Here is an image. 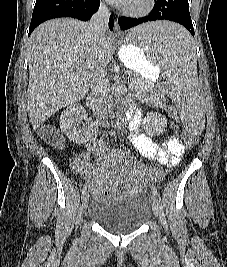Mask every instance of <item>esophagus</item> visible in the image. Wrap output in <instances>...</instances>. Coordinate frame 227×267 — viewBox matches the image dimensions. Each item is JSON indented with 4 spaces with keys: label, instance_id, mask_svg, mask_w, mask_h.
<instances>
[{
    "label": "esophagus",
    "instance_id": "esophagus-1",
    "mask_svg": "<svg viewBox=\"0 0 227 267\" xmlns=\"http://www.w3.org/2000/svg\"><path fill=\"white\" fill-rule=\"evenodd\" d=\"M114 32H115L116 36L121 35V30H120V27L118 25V21L117 20L115 21Z\"/></svg>",
    "mask_w": 227,
    "mask_h": 267
}]
</instances>
